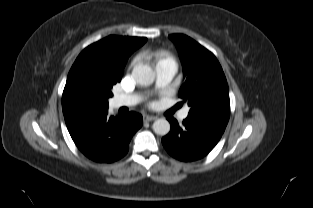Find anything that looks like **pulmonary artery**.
Instances as JSON below:
<instances>
[{
	"instance_id": "pulmonary-artery-1",
	"label": "pulmonary artery",
	"mask_w": 313,
	"mask_h": 208,
	"mask_svg": "<svg viewBox=\"0 0 313 208\" xmlns=\"http://www.w3.org/2000/svg\"><path fill=\"white\" fill-rule=\"evenodd\" d=\"M177 72V66L173 61H166L156 66V84L158 87L169 85ZM140 101L139 95L120 94L112 98V105L115 108L132 106ZM188 109H184L180 114V119H185Z\"/></svg>"
}]
</instances>
